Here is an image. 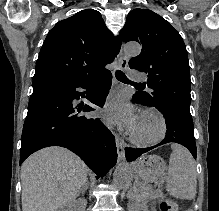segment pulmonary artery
I'll list each match as a JSON object with an SVG mask.
<instances>
[{
  "label": "pulmonary artery",
  "mask_w": 219,
  "mask_h": 211,
  "mask_svg": "<svg viewBox=\"0 0 219 211\" xmlns=\"http://www.w3.org/2000/svg\"><path fill=\"white\" fill-rule=\"evenodd\" d=\"M131 74H136V69H131ZM131 80H143V75H131Z\"/></svg>",
  "instance_id": "1"
}]
</instances>
